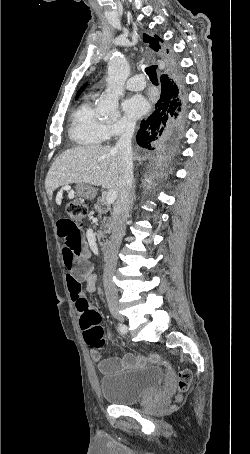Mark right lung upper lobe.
I'll list each match as a JSON object with an SVG mask.
<instances>
[{
	"instance_id": "obj_1",
	"label": "right lung upper lobe",
	"mask_w": 250,
	"mask_h": 454,
	"mask_svg": "<svg viewBox=\"0 0 250 454\" xmlns=\"http://www.w3.org/2000/svg\"><path fill=\"white\" fill-rule=\"evenodd\" d=\"M143 39H144V42H147L149 43V47L157 52L160 56V59L162 61H164V64H165V70L168 71L171 69L172 67V63L170 62L169 58H168V53H167V49L161 45L159 43V40L162 42L161 39H159V37L157 35H155V38L153 37H150L146 34H143Z\"/></svg>"
}]
</instances>
